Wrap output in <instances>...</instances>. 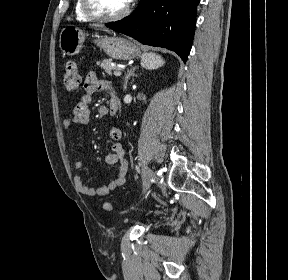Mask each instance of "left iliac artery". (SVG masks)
I'll list each match as a JSON object with an SVG mask.
<instances>
[{
    "label": "left iliac artery",
    "mask_w": 288,
    "mask_h": 280,
    "mask_svg": "<svg viewBox=\"0 0 288 280\" xmlns=\"http://www.w3.org/2000/svg\"><path fill=\"white\" fill-rule=\"evenodd\" d=\"M141 187H145L144 179H137V185L135 191L139 192Z\"/></svg>",
    "instance_id": "1"
}]
</instances>
